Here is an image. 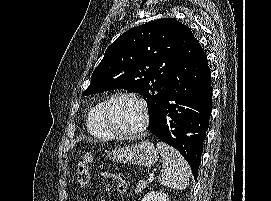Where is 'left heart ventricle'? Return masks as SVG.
<instances>
[{"mask_svg": "<svg viewBox=\"0 0 271 201\" xmlns=\"http://www.w3.org/2000/svg\"><path fill=\"white\" fill-rule=\"evenodd\" d=\"M109 116L117 129L130 131L140 125L142 110L139 104L132 98L119 97L111 103Z\"/></svg>", "mask_w": 271, "mask_h": 201, "instance_id": "obj_1", "label": "left heart ventricle"}]
</instances>
